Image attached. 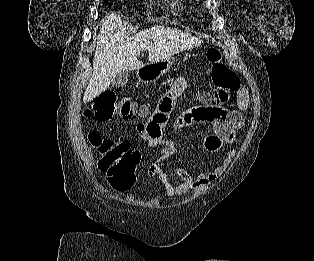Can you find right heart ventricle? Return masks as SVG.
<instances>
[{"mask_svg": "<svg viewBox=\"0 0 314 261\" xmlns=\"http://www.w3.org/2000/svg\"><path fill=\"white\" fill-rule=\"evenodd\" d=\"M171 3H172L173 5L180 4V3H181V0H172Z\"/></svg>", "mask_w": 314, "mask_h": 261, "instance_id": "e07e8e85", "label": "right heart ventricle"}]
</instances>
